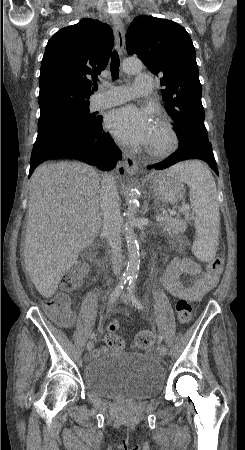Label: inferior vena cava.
Here are the masks:
<instances>
[{"label":"inferior vena cava","mask_w":245,"mask_h":450,"mask_svg":"<svg viewBox=\"0 0 245 450\" xmlns=\"http://www.w3.org/2000/svg\"><path fill=\"white\" fill-rule=\"evenodd\" d=\"M100 208L103 217V234L107 238L112 254V269L120 275L122 263L120 203L116 182L113 176L106 174L101 181Z\"/></svg>","instance_id":"obj_1"}]
</instances>
